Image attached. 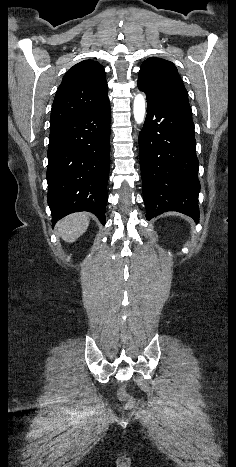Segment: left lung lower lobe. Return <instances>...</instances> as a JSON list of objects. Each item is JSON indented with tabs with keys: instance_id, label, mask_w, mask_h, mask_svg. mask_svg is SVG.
Returning a JSON list of instances; mask_svg holds the SVG:
<instances>
[{
	"instance_id": "0a47b994",
	"label": "left lung lower lobe",
	"mask_w": 236,
	"mask_h": 467,
	"mask_svg": "<svg viewBox=\"0 0 236 467\" xmlns=\"http://www.w3.org/2000/svg\"><path fill=\"white\" fill-rule=\"evenodd\" d=\"M139 134V153L146 218L177 211L199 221L194 123L190 105L147 100Z\"/></svg>"
}]
</instances>
